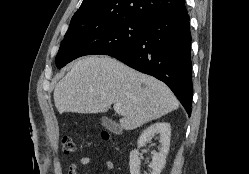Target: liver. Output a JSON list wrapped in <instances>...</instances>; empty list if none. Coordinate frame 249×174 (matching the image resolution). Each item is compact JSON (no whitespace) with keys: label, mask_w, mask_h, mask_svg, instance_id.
Returning <instances> with one entry per match:
<instances>
[{"label":"liver","mask_w":249,"mask_h":174,"mask_svg":"<svg viewBox=\"0 0 249 174\" xmlns=\"http://www.w3.org/2000/svg\"><path fill=\"white\" fill-rule=\"evenodd\" d=\"M60 113H104L112 104L124 111L120 126L134 130L178 109L163 82L108 56H87L74 63L54 89Z\"/></svg>","instance_id":"liver-1"}]
</instances>
